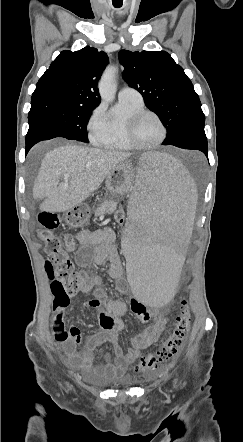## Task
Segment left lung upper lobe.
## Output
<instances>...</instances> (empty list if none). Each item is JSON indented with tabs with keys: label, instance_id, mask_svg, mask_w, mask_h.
I'll return each instance as SVG.
<instances>
[{
	"label": "left lung upper lobe",
	"instance_id": "1",
	"mask_svg": "<svg viewBox=\"0 0 243 442\" xmlns=\"http://www.w3.org/2000/svg\"><path fill=\"white\" fill-rule=\"evenodd\" d=\"M119 60L125 68L124 79L142 94L146 107L167 129L164 145L192 125L205 122L192 82L167 52L121 50Z\"/></svg>",
	"mask_w": 243,
	"mask_h": 442
}]
</instances>
